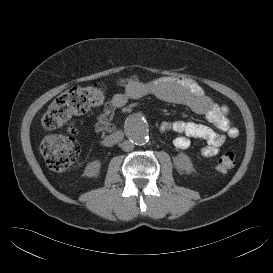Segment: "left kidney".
<instances>
[{
  "mask_svg": "<svg viewBox=\"0 0 273 273\" xmlns=\"http://www.w3.org/2000/svg\"><path fill=\"white\" fill-rule=\"evenodd\" d=\"M173 162L176 168L181 172L189 173L193 170V164L191 162V159L185 153H179L177 156L174 157Z\"/></svg>",
  "mask_w": 273,
  "mask_h": 273,
  "instance_id": "1",
  "label": "left kidney"
}]
</instances>
